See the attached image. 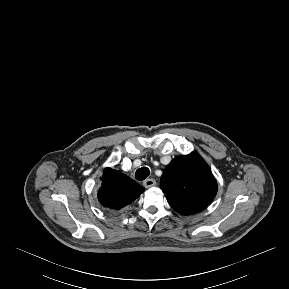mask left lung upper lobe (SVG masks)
Wrapping results in <instances>:
<instances>
[{"label": "left lung upper lobe", "instance_id": "left-lung-upper-lobe-1", "mask_svg": "<svg viewBox=\"0 0 289 289\" xmlns=\"http://www.w3.org/2000/svg\"><path fill=\"white\" fill-rule=\"evenodd\" d=\"M160 186L171 207L183 215L207 208L217 192L216 180L197 152L175 157L165 168Z\"/></svg>", "mask_w": 289, "mask_h": 289}]
</instances>
